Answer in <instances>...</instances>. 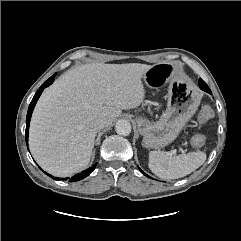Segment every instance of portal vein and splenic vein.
<instances>
[{"label": "portal vein and splenic vein", "mask_w": 241, "mask_h": 241, "mask_svg": "<svg viewBox=\"0 0 241 241\" xmlns=\"http://www.w3.org/2000/svg\"><path fill=\"white\" fill-rule=\"evenodd\" d=\"M176 153H177V150H176V149H174V150L171 151V155L176 154Z\"/></svg>", "instance_id": "18ae733b"}]
</instances>
